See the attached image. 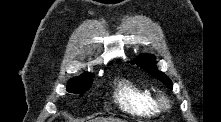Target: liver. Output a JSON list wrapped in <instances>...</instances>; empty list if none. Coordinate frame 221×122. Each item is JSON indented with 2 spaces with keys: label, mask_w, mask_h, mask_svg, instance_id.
Instances as JSON below:
<instances>
[{
  "label": "liver",
  "mask_w": 221,
  "mask_h": 122,
  "mask_svg": "<svg viewBox=\"0 0 221 122\" xmlns=\"http://www.w3.org/2000/svg\"><path fill=\"white\" fill-rule=\"evenodd\" d=\"M98 122H123L120 119H115V118H98L96 119Z\"/></svg>",
  "instance_id": "liver-1"
}]
</instances>
